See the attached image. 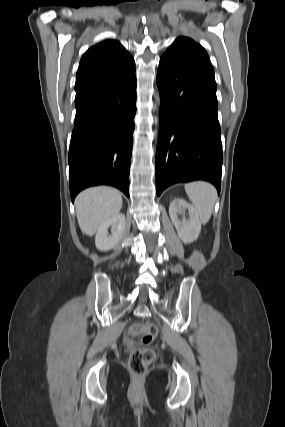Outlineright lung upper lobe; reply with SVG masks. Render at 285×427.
Wrapping results in <instances>:
<instances>
[{
  "instance_id": "obj_1",
  "label": "right lung upper lobe",
  "mask_w": 285,
  "mask_h": 427,
  "mask_svg": "<svg viewBox=\"0 0 285 427\" xmlns=\"http://www.w3.org/2000/svg\"><path fill=\"white\" fill-rule=\"evenodd\" d=\"M134 71L133 57L118 41L100 42L81 58L76 75V97L111 84Z\"/></svg>"
}]
</instances>
